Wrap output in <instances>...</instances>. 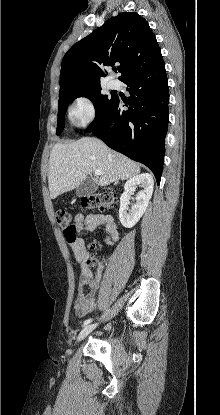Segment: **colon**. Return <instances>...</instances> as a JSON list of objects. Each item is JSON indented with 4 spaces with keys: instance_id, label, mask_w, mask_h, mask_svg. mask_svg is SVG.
I'll return each instance as SVG.
<instances>
[{
    "instance_id": "colon-1",
    "label": "colon",
    "mask_w": 220,
    "mask_h": 415,
    "mask_svg": "<svg viewBox=\"0 0 220 415\" xmlns=\"http://www.w3.org/2000/svg\"><path fill=\"white\" fill-rule=\"evenodd\" d=\"M117 203V196L115 193L110 191H99L92 195L85 197L82 200V206L90 210H108L115 206ZM55 217L58 225H60L64 232L74 231L75 224L70 213L66 210L59 209L55 212ZM91 250L96 248V244L92 243L89 245ZM91 267L97 266V260L92 258L88 261Z\"/></svg>"
}]
</instances>
